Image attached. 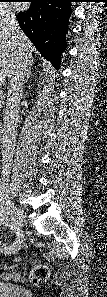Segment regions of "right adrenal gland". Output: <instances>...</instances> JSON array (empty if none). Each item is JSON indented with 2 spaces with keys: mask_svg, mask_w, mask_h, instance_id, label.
<instances>
[{
  "mask_svg": "<svg viewBox=\"0 0 107 297\" xmlns=\"http://www.w3.org/2000/svg\"><path fill=\"white\" fill-rule=\"evenodd\" d=\"M31 75V67H29L28 71H27V81L30 78Z\"/></svg>",
  "mask_w": 107,
  "mask_h": 297,
  "instance_id": "obj_1",
  "label": "right adrenal gland"
}]
</instances>
